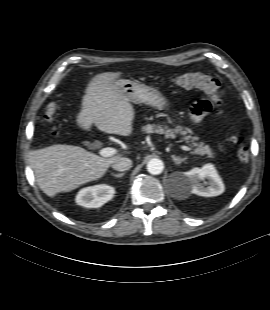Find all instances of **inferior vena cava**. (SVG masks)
Here are the masks:
<instances>
[{
    "label": "inferior vena cava",
    "instance_id": "1",
    "mask_svg": "<svg viewBox=\"0 0 270 310\" xmlns=\"http://www.w3.org/2000/svg\"><path fill=\"white\" fill-rule=\"evenodd\" d=\"M132 167V160L129 158H118L112 163V168L117 171H126Z\"/></svg>",
    "mask_w": 270,
    "mask_h": 310
}]
</instances>
